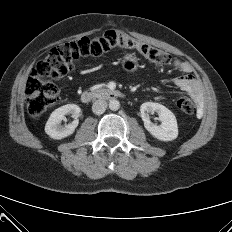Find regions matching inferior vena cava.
I'll list each match as a JSON object with an SVG mask.
<instances>
[{"label":"inferior vena cava","mask_w":232,"mask_h":232,"mask_svg":"<svg viewBox=\"0 0 232 232\" xmlns=\"http://www.w3.org/2000/svg\"><path fill=\"white\" fill-rule=\"evenodd\" d=\"M107 108V102L105 100H96L92 105V111L96 115L103 114Z\"/></svg>","instance_id":"602c4592"}]
</instances>
